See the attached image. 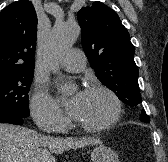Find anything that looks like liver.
Returning <instances> with one entry per match:
<instances>
[{
	"label": "liver",
	"instance_id": "6515ba94",
	"mask_svg": "<svg viewBox=\"0 0 168 162\" xmlns=\"http://www.w3.org/2000/svg\"><path fill=\"white\" fill-rule=\"evenodd\" d=\"M92 138L63 139L41 136L20 126L0 123V162H56L53 154L99 144Z\"/></svg>",
	"mask_w": 168,
	"mask_h": 162
}]
</instances>
